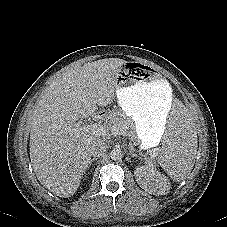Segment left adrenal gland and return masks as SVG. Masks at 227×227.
<instances>
[{
	"label": "left adrenal gland",
	"instance_id": "1",
	"mask_svg": "<svg viewBox=\"0 0 227 227\" xmlns=\"http://www.w3.org/2000/svg\"><path fill=\"white\" fill-rule=\"evenodd\" d=\"M130 154H131L132 157H137V155L135 153L131 152V151H130Z\"/></svg>",
	"mask_w": 227,
	"mask_h": 227
}]
</instances>
